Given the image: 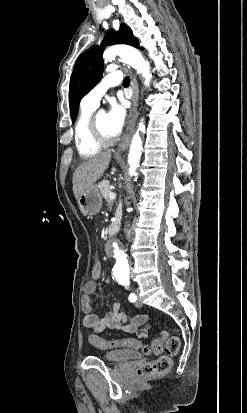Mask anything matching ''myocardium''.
Instances as JSON below:
<instances>
[{"label":"myocardium","mask_w":247,"mask_h":413,"mask_svg":"<svg viewBox=\"0 0 247 413\" xmlns=\"http://www.w3.org/2000/svg\"><path fill=\"white\" fill-rule=\"evenodd\" d=\"M96 118H93L91 121V136L93 140L102 147H110L112 146L116 139L105 137L100 129V126H95Z\"/></svg>","instance_id":"f54148a6"}]
</instances>
